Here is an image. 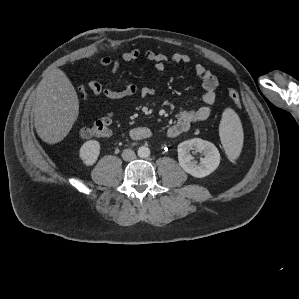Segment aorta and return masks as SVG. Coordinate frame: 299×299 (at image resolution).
Masks as SVG:
<instances>
[{"mask_svg": "<svg viewBox=\"0 0 299 299\" xmlns=\"http://www.w3.org/2000/svg\"><path fill=\"white\" fill-rule=\"evenodd\" d=\"M137 153L140 158H147L150 156V149L146 146H141L138 148Z\"/></svg>", "mask_w": 299, "mask_h": 299, "instance_id": "1", "label": "aorta"}]
</instances>
